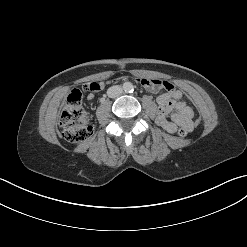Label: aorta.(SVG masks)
<instances>
[{
	"label": "aorta",
	"instance_id": "obj_1",
	"mask_svg": "<svg viewBox=\"0 0 247 247\" xmlns=\"http://www.w3.org/2000/svg\"><path fill=\"white\" fill-rule=\"evenodd\" d=\"M123 89H124L125 91H131V90L133 89L132 83H131V82H125V83L123 84Z\"/></svg>",
	"mask_w": 247,
	"mask_h": 247
}]
</instances>
